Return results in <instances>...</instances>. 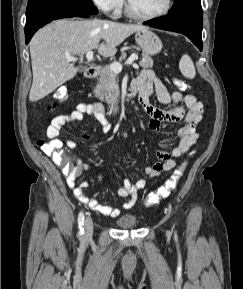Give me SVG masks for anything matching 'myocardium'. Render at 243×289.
Listing matches in <instances>:
<instances>
[{
	"instance_id": "obj_1",
	"label": "myocardium",
	"mask_w": 243,
	"mask_h": 289,
	"mask_svg": "<svg viewBox=\"0 0 243 289\" xmlns=\"http://www.w3.org/2000/svg\"><path fill=\"white\" fill-rule=\"evenodd\" d=\"M172 4H173V0H166V4L165 7L162 11L153 14V15H142L137 13L131 6L130 0H125V12L126 14L136 20H142V21H149V20H154V19H158L161 18L165 15H167L171 8H172Z\"/></svg>"
}]
</instances>
